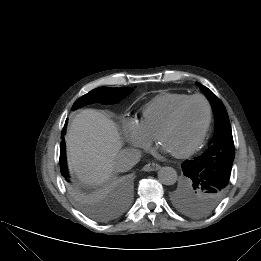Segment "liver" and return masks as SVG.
Masks as SVG:
<instances>
[{"label":"liver","mask_w":261,"mask_h":261,"mask_svg":"<svg viewBox=\"0 0 261 261\" xmlns=\"http://www.w3.org/2000/svg\"><path fill=\"white\" fill-rule=\"evenodd\" d=\"M66 144L69 166L84 184H101L113 175L122 140L114 122L101 112L81 110L68 129Z\"/></svg>","instance_id":"liver-1"}]
</instances>
